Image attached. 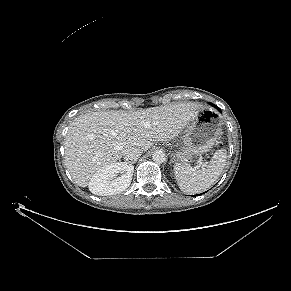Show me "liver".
<instances>
[{"label":"liver","instance_id":"liver-1","mask_svg":"<svg viewBox=\"0 0 291 291\" xmlns=\"http://www.w3.org/2000/svg\"><path fill=\"white\" fill-rule=\"evenodd\" d=\"M203 109L200 103L181 102L133 112L82 114L70 124L65 138L67 170L78 186L86 187L94 173L121 159L124 148L147 151L154 142L170 141Z\"/></svg>","mask_w":291,"mask_h":291}]
</instances>
